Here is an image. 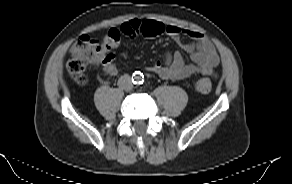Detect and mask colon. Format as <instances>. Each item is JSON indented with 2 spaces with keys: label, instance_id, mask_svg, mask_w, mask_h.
<instances>
[{
  "label": "colon",
  "instance_id": "colon-1",
  "mask_svg": "<svg viewBox=\"0 0 292 184\" xmlns=\"http://www.w3.org/2000/svg\"><path fill=\"white\" fill-rule=\"evenodd\" d=\"M163 34V26L160 22L146 20L142 27V35L146 38H154ZM121 40L119 28L110 29L104 37L98 41L88 35L80 36L71 47V58L67 63V69L73 80L79 85H85L88 81L86 68L93 62L94 56L99 51H109L116 48ZM195 89L200 93H208L212 84L207 78L195 81Z\"/></svg>",
  "mask_w": 292,
  "mask_h": 184
}]
</instances>
